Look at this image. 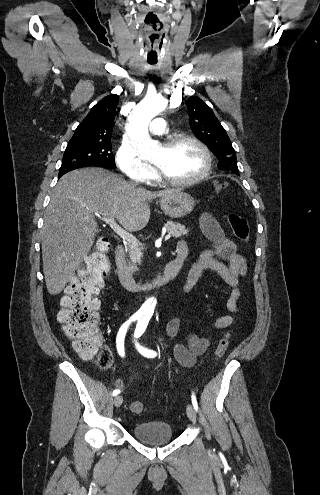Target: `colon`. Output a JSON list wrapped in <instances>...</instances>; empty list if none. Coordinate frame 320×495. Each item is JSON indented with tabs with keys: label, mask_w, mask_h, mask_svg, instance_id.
I'll return each instance as SVG.
<instances>
[{
	"label": "colon",
	"mask_w": 320,
	"mask_h": 495,
	"mask_svg": "<svg viewBox=\"0 0 320 495\" xmlns=\"http://www.w3.org/2000/svg\"><path fill=\"white\" fill-rule=\"evenodd\" d=\"M228 185L226 181L218 183L216 192L222 193ZM228 222L234 236L246 243L249 239V225L246 218L238 213H229ZM108 251L109 242L100 239L96 249L87 257L85 266L67 286L58 312V320L66 335L73 340L74 349L83 356L96 358L103 368L111 363V351L101 346L97 334L98 294L104 288L111 272ZM229 337V333H224L219 339L215 350L217 359L225 355ZM130 410L134 414H140L144 411V404L134 401L130 405Z\"/></svg>",
	"instance_id": "5ec220e1"
}]
</instances>
